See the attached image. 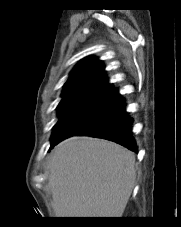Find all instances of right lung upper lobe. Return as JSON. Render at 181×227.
<instances>
[{
    "mask_svg": "<svg viewBox=\"0 0 181 227\" xmlns=\"http://www.w3.org/2000/svg\"><path fill=\"white\" fill-rule=\"evenodd\" d=\"M108 83L104 67L96 58L82 60L71 72L65 83L62 97L68 98L89 93L114 92Z\"/></svg>",
    "mask_w": 181,
    "mask_h": 227,
    "instance_id": "cb5924a9",
    "label": "right lung upper lobe"
}]
</instances>
